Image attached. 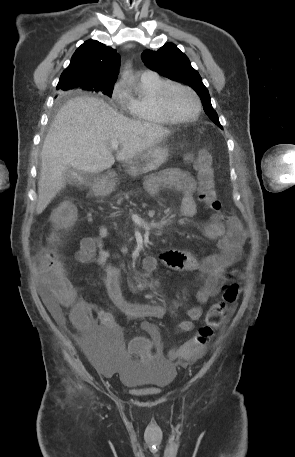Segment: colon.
<instances>
[{
    "mask_svg": "<svg viewBox=\"0 0 295 457\" xmlns=\"http://www.w3.org/2000/svg\"><path fill=\"white\" fill-rule=\"evenodd\" d=\"M192 159L198 172L199 199L206 209L217 213L221 209V204L215 191L211 156L206 151H199ZM76 216L75 206L65 202L56 208L51 217V223L56 230L67 229L74 223ZM50 240L54 241L55 237L51 236ZM40 266L42 273L48 277L49 286L59 303L71 308L72 319H77V290L66 277L61 260L53 247L50 246L45 249ZM238 294L239 287L237 284L231 283L225 286L221 300L210 307L204 325L178 349L168 352L171 360L187 361L203 353L213 336L214 330L227 320L231 312V305L236 302ZM126 347L129 350V355H134V362H151L153 348L150 341H146L145 333H134L133 341H127Z\"/></svg>",
    "mask_w": 295,
    "mask_h": 457,
    "instance_id": "obj_1",
    "label": "colon"
}]
</instances>
